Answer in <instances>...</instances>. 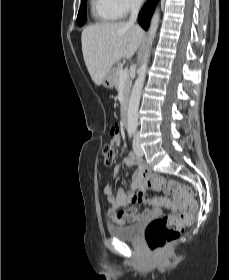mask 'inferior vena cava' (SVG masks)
Returning <instances> with one entry per match:
<instances>
[{"label": "inferior vena cava", "instance_id": "1", "mask_svg": "<svg viewBox=\"0 0 229 280\" xmlns=\"http://www.w3.org/2000/svg\"><path fill=\"white\" fill-rule=\"evenodd\" d=\"M141 2L140 0H133L131 3V15L129 18V24H134L137 20L139 9H140Z\"/></svg>", "mask_w": 229, "mask_h": 280}]
</instances>
